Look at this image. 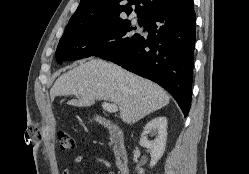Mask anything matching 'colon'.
<instances>
[{
  "label": "colon",
  "mask_w": 249,
  "mask_h": 174,
  "mask_svg": "<svg viewBox=\"0 0 249 174\" xmlns=\"http://www.w3.org/2000/svg\"><path fill=\"white\" fill-rule=\"evenodd\" d=\"M58 139L62 150H73L75 148L74 139L69 132L61 130L58 133Z\"/></svg>",
  "instance_id": "colon-1"
}]
</instances>
